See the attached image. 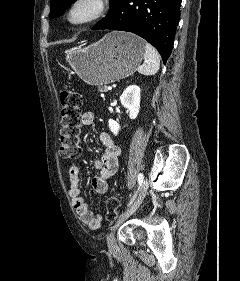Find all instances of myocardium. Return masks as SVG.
<instances>
[{
	"label": "myocardium",
	"mask_w": 240,
	"mask_h": 281,
	"mask_svg": "<svg viewBox=\"0 0 240 281\" xmlns=\"http://www.w3.org/2000/svg\"><path fill=\"white\" fill-rule=\"evenodd\" d=\"M108 8L107 0H73L67 7L64 19L70 26H83L104 16ZM83 11L81 16H77Z\"/></svg>",
	"instance_id": "1"
}]
</instances>
